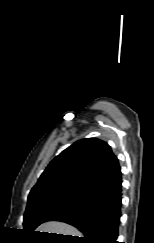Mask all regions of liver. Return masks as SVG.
<instances>
[{"mask_svg":"<svg viewBox=\"0 0 154 243\" xmlns=\"http://www.w3.org/2000/svg\"><path fill=\"white\" fill-rule=\"evenodd\" d=\"M36 231L82 237V234L76 228L69 224L58 221L43 223L37 228Z\"/></svg>","mask_w":154,"mask_h":243,"instance_id":"1","label":"liver"}]
</instances>
